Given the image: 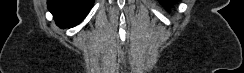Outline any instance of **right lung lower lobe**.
Here are the masks:
<instances>
[{"mask_svg":"<svg viewBox=\"0 0 244 73\" xmlns=\"http://www.w3.org/2000/svg\"><path fill=\"white\" fill-rule=\"evenodd\" d=\"M94 0H48V9L56 24L61 28H71L79 24L89 13Z\"/></svg>","mask_w":244,"mask_h":73,"instance_id":"1","label":"right lung lower lobe"}]
</instances>
